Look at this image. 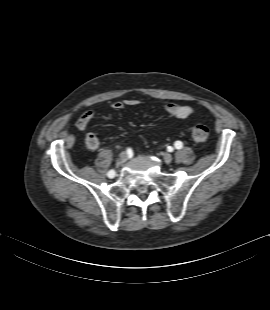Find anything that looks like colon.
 Masks as SVG:
<instances>
[{
	"label": "colon",
	"mask_w": 270,
	"mask_h": 310,
	"mask_svg": "<svg viewBox=\"0 0 270 310\" xmlns=\"http://www.w3.org/2000/svg\"><path fill=\"white\" fill-rule=\"evenodd\" d=\"M209 136L208 128L203 124H197L192 128V137L197 143H204Z\"/></svg>",
	"instance_id": "5ec220e1"
}]
</instances>
